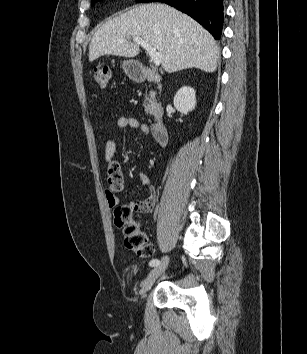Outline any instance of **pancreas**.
<instances>
[{"mask_svg": "<svg viewBox=\"0 0 307 354\" xmlns=\"http://www.w3.org/2000/svg\"><path fill=\"white\" fill-rule=\"evenodd\" d=\"M156 96V92L151 91L149 95H146L145 102L146 104L144 105V109L146 113H150L153 111L154 108V99Z\"/></svg>", "mask_w": 307, "mask_h": 354, "instance_id": "1", "label": "pancreas"}]
</instances>
